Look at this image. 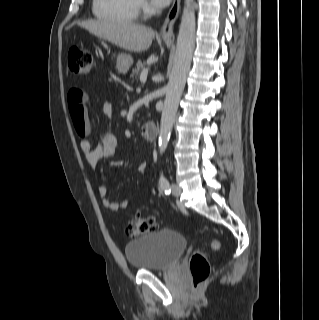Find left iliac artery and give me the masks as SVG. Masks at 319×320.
<instances>
[{"instance_id":"obj_1","label":"left iliac artery","mask_w":319,"mask_h":320,"mask_svg":"<svg viewBox=\"0 0 319 320\" xmlns=\"http://www.w3.org/2000/svg\"><path fill=\"white\" fill-rule=\"evenodd\" d=\"M160 187L166 195L171 193V188L168 180L164 177L163 173L160 176Z\"/></svg>"}]
</instances>
